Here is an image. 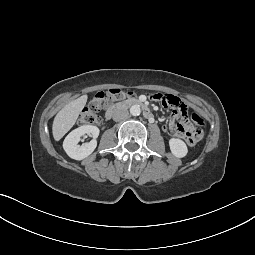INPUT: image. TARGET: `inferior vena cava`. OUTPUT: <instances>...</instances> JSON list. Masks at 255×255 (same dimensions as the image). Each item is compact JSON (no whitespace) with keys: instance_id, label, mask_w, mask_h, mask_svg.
Wrapping results in <instances>:
<instances>
[{"instance_id":"obj_1","label":"inferior vena cava","mask_w":255,"mask_h":255,"mask_svg":"<svg viewBox=\"0 0 255 255\" xmlns=\"http://www.w3.org/2000/svg\"><path fill=\"white\" fill-rule=\"evenodd\" d=\"M129 112L124 108H118L113 112V120L118 122L127 119Z\"/></svg>"}]
</instances>
